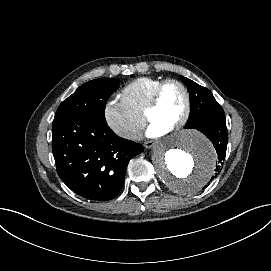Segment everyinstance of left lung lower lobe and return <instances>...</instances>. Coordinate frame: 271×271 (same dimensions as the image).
<instances>
[{"label": "left lung lower lobe", "mask_w": 271, "mask_h": 271, "mask_svg": "<svg viewBox=\"0 0 271 271\" xmlns=\"http://www.w3.org/2000/svg\"><path fill=\"white\" fill-rule=\"evenodd\" d=\"M196 129L212 141L217 152L216 173L210 179L209 182H211L221 172L226 156L228 133L223 109L220 108L209 112Z\"/></svg>", "instance_id": "left-lung-lower-lobe-1"}]
</instances>
